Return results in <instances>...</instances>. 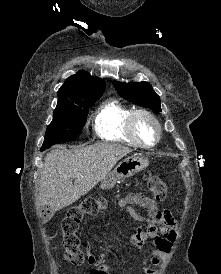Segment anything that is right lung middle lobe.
I'll list each match as a JSON object with an SVG mask.
<instances>
[{
    "instance_id": "dd1d6c3e",
    "label": "right lung middle lobe",
    "mask_w": 221,
    "mask_h": 274,
    "mask_svg": "<svg viewBox=\"0 0 221 274\" xmlns=\"http://www.w3.org/2000/svg\"><path fill=\"white\" fill-rule=\"evenodd\" d=\"M101 96L102 94H97L57 103L41 150L54 144L71 141L79 136L86 121L87 111Z\"/></svg>"
}]
</instances>
